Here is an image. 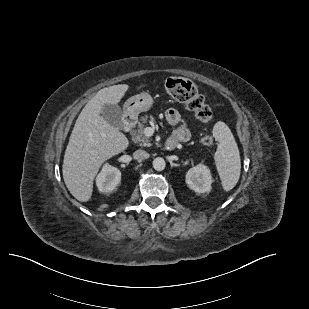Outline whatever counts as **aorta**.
Listing matches in <instances>:
<instances>
[{
	"label": "aorta",
	"mask_w": 309,
	"mask_h": 309,
	"mask_svg": "<svg viewBox=\"0 0 309 309\" xmlns=\"http://www.w3.org/2000/svg\"><path fill=\"white\" fill-rule=\"evenodd\" d=\"M166 163L165 160L161 157H157L153 160V168L156 171H162L165 169Z\"/></svg>",
	"instance_id": "1"
}]
</instances>
